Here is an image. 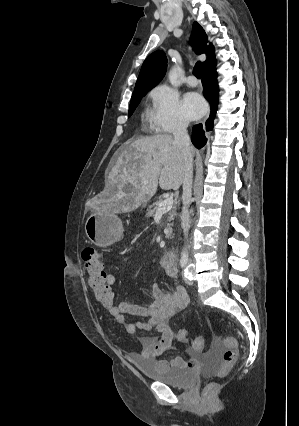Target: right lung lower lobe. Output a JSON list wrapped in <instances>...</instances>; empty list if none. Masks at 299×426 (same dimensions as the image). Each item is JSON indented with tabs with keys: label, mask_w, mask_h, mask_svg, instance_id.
I'll list each match as a JSON object with an SVG mask.
<instances>
[{
	"label": "right lung lower lobe",
	"mask_w": 299,
	"mask_h": 426,
	"mask_svg": "<svg viewBox=\"0 0 299 426\" xmlns=\"http://www.w3.org/2000/svg\"><path fill=\"white\" fill-rule=\"evenodd\" d=\"M215 65L204 70V75L202 78V84L204 87L203 94L205 98L211 104V113L210 118L206 122V130L210 131L213 129V120L217 111L218 104V84H217V73L215 69ZM191 141L195 145L196 148H202L206 142L207 138L205 137L202 124H197L193 126Z\"/></svg>",
	"instance_id": "right-lung-lower-lobe-1"
}]
</instances>
